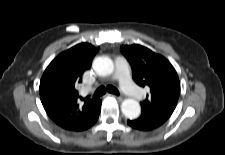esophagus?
I'll return each instance as SVG.
<instances>
[{"instance_id": "esophagus-1", "label": "esophagus", "mask_w": 225, "mask_h": 155, "mask_svg": "<svg viewBox=\"0 0 225 155\" xmlns=\"http://www.w3.org/2000/svg\"><path fill=\"white\" fill-rule=\"evenodd\" d=\"M112 97L116 98L118 101H122L123 100V97L120 96V95H114V94H111Z\"/></svg>"}]
</instances>
